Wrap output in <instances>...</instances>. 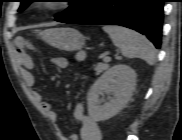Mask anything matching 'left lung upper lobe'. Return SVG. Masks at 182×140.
<instances>
[{"label":"left lung upper lobe","mask_w":182,"mask_h":140,"mask_svg":"<svg viewBox=\"0 0 182 140\" xmlns=\"http://www.w3.org/2000/svg\"><path fill=\"white\" fill-rule=\"evenodd\" d=\"M21 5L18 11L26 9L34 0H20ZM70 7L63 13L56 16V21L72 23L93 11L102 0H67Z\"/></svg>","instance_id":"left-lung-upper-lobe-1"}]
</instances>
